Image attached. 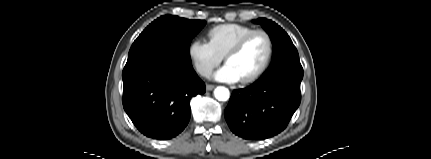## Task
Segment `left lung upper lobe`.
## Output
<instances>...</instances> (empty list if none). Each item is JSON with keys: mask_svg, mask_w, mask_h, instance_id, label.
<instances>
[{"mask_svg": "<svg viewBox=\"0 0 431 159\" xmlns=\"http://www.w3.org/2000/svg\"><path fill=\"white\" fill-rule=\"evenodd\" d=\"M253 21L264 28L269 34L274 46L272 62L265 74L280 69L303 70L297 49L288 34L280 26L265 18H259Z\"/></svg>", "mask_w": 431, "mask_h": 159, "instance_id": "5c2ea615", "label": "left lung upper lobe"}]
</instances>
